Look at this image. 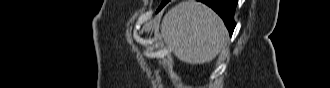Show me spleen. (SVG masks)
Masks as SVG:
<instances>
[{"mask_svg":"<svg viewBox=\"0 0 330 88\" xmlns=\"http://www.w3.org/2000/svg\"><path fill=\"white\" fill-rule=\"evenodd\" d=\"M226 28L208 6L188 0L164 16L161 37L175 56L190 64L212 61L226 46Z\"/></svg>","mask_w":330,"mask_h":88,"instance_id":"1","label":"spleen"}]
</instances>
